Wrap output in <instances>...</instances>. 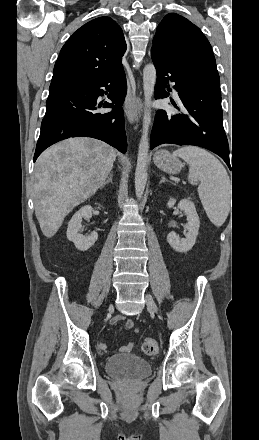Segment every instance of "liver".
<instances>
[{"instance_id":"6515ba94","label":"liver","mask_w":259,"mask_h":440,"mask_svg":"<svg viewBox=\"0 0 259 440\" xmlns=\"http://www.w3.org/2000/svg\"><path fill=\"white\" fill-rule=\"evenodd\" d=\"M116 150L98 139L76 137L46 149L34 170V208L44 236L53 237L74 207L103 186Z\"/></svg>"}]
</instances>
